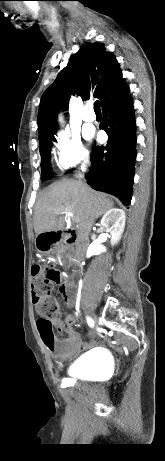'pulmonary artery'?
I'll list each match as a JSON object with an SVG mask.
<instances>
[{
  "label": "pulmonary artery",
  "instance_id": "pulmonary-artery-1",
  "mask_svg": "<svg viewBox=\"0 0 165 461\" xmlns=\"http://www.w3.org/2000/svg\"><path fill=\"white\" fill-rule=\"evenodd\" d=\"M82 118L86 122H93L95 120V114L91 111L90 106L87 105L82 111Z\"/></svg>",
  "mask_w": 165,
  "mask_h": 461
}]
</instances>
